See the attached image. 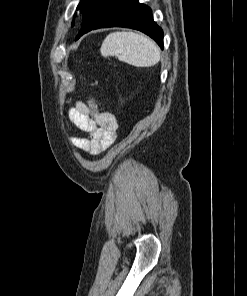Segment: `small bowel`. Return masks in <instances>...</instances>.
<instances>
[{"instance_id":"small-bowel-1","label":"small bowel","mask_w":247,"mask_h":296,"mask_svg":"<svg viewBox=\"0 0 247 296\" xmlns=\"http://www.w3.org/2000/svg\"><path fill=\"white\" fill-rule=\"evenodd\" d=\"M68 116L77 128L89 136H71L70 142L76 149L96 155L115 141L118 126L113 114L94 112L85 103L78 101L68 110Z\"/></svg>"}]
</instances>
